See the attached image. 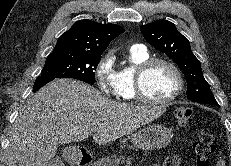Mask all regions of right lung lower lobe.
<instances>
[{"mask_svg": "<svg viewBox=\"0 0 231 166\" xmlns=\"http://www.w3.org/2000/svg\"><path fill=\"white\" fill-rule=\"evenodd\" d=\"M54 79V77L38 76L34 83L33 92L38 91L41 87Z\"/></svg>", "mask_w": 231, "mask_h": 166, "instance_id": "1", "label": "right lung lower lobe"}]
</instances>
